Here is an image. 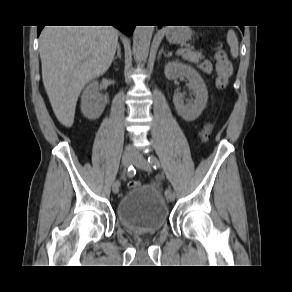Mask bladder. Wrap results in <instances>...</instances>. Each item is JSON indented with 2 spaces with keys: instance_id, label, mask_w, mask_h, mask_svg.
Here are the masks:
<instances>
[{
  "instance_id": "bladder-1",
  "label": "bladder",
  "mask_w": 292,
  "mask_h": 292,
  "mask_svg": "<svg viewBox=\"0 0 292 292\" xmlns=\"http://www.w3.org/2000/svg\"><path fill=\"white\" fill-rule=\"evenodd\" d=\"M117 218L127 231L157 233L169 218V207L155 185H139L129 189L117 204Z\"/></svg>"
}]
</instances>
